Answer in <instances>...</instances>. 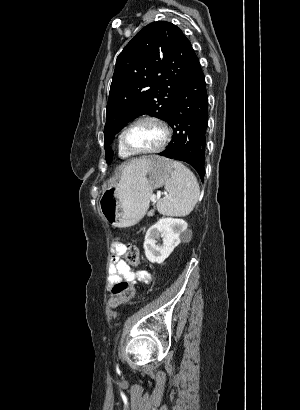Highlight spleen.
Segmentation results:
<instances>
[{
    "label": "spleen",
    "mask_w": 300,
    "mask_h": 410,
    "mask_svg": "<svg viewBox=\"0 0 300 410\" xmlns=\"http://www.w3.org/2000/svg\"><path fill=\"white\" fill-rule=\"evenodd\" d=\"M174 171L165 182L168 194L157 203L161 214L185 216L198 202L200 189L195 175L181 162H172Z\"/></svg>",
    "instance_id": "1"
}]
</instances>
